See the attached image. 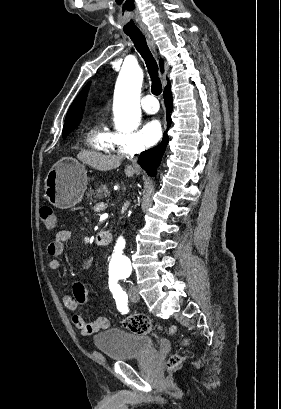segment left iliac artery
I'll return each instance as SVG.
<instances>
[{"instance_id":"left-iliac-artery-1","label":"left iliac artery","mask_w":281,"mask_h":409,"mask_svg":"<svg viewBox=\"0 0 281 409\" xmlns=\"http://www.w3.org/2000/svg\"><path fill=\"white\" fill-rule=\"evenodd\" d=\"M109 289L113 294V298L116 301L117 309L122 313H128L127 307L128 295L126 291L118 284V278L111 277L109 279Z\"/></svg>"}]
</instances>
